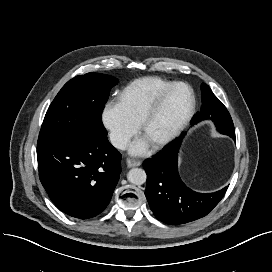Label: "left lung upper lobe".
I'll use <instances>...</instances> for the list:
<instances>
[{
    "mask_svg": "<svg viewBox=\"0 0 272 272\" xmlns=\"http://www.w3.org/2000/svg\"><path fill=\"white\" fill-rule=\"evenodd\" d=\"M202 90V107L195 117L194 121H201L203 119H213L218 129L219 122L229 116V112L222 102L213 94L211 89L205 83L201 86ZM198 121V122H199ZM228 130H234L233 123L228 124Z\"/></svg>",
    "mask_w": 272,
    "mask_h": 272,
    "instance_id": "1",
    "label": "left lung upper lobe"
}]
</instances>
